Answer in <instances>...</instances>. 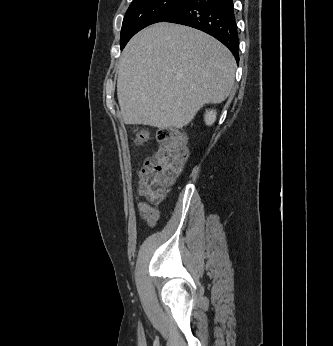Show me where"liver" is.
Returning a JSON list of instances; mask_svg holds the SVG:
<instances>
[{"label": "liver", "mask_w": 333, "mask_h": 346, "mask_svg": "<svg viewBox=\"0 0 333 346\" xmlns=\"http://www.w3.org/2000/svg\"><path fill=\"white\" fill-rule=\"evenodd\" d=\"M236 62L210 35L157 23L137 33L119 61L117 97L125 124L188 125L205 104L230 94Z\"/></svg>", "instance_id": "obj_1"}]
</instances>
